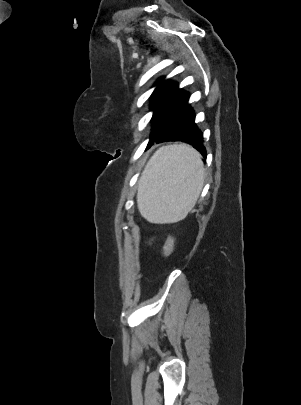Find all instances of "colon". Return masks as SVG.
Returning a JSON list of instances; mask_svg holds the SVG:
<instances>
[{"mask_svg": "<svg viewBox=\"0 0 301 405\" xmlns=\"http://www.w3.org/2000/svg\"><path fill=\"white\" fill-rule=\"evenodd\" d=\"M174 249V239L171 235H168L163 247V255L164 258H169L173 252Z\"/></svg>", "mask_w": 301, "mask_h": 405, "instance_id": "5ec220e1", "label": "colon"}]
</instances>
